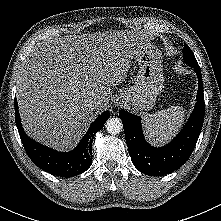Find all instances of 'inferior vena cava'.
<instances>
[{"label":"inferior vena cava","mask_w":221,"mask_h":221,"mask_svg":"<svg viewBox=\"0 0 221 221\" xmlns=\"http://www.w3.org/2000/svg\"><path fill=\"white\" fill-rule=\"evenodd\" d=\"M100 104H101L100 100L94 99L90 102V107L95 109V108L99 107Z\"/></svg>","instance_id":"inferior-vena-cava-1"}]
</instances>
